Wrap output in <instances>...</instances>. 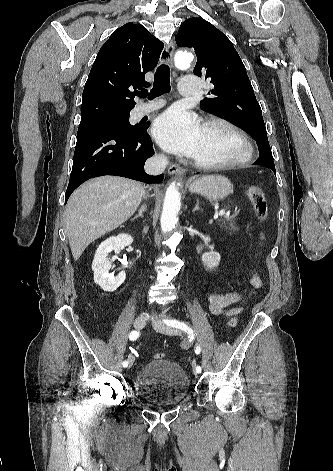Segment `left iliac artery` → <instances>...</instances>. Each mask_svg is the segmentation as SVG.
Listing matches in <instances>:
<instances>
[{"instance_id":"44dca946","label":"left iliac artery","mask_w":333,"mask_h":471,"mask_svg":"<svg viewBox=\"0 0 333 471\" xmlns=\"http://www.w3.org/2000/svg\"><path fill=\"white\" fill-rule=\"evenodd\" d=\"M165 324H167L168 326H171V327H175V328H179L183 331H185L186 333L189 334V336L191 338L194 337V331L192 330V328H190L185 322H182V321H179V320H176V319H165L164 320ZM201 351V348L200 346L196 345L195 347V353L196 354H199ZM196 372L197 373H200L202 371L201 367L198 365L196 366L195 368Z\"/></svg>"}]
</instances>
